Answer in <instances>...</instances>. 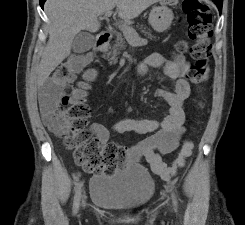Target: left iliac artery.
Here are the masks:
<instances>
[{
    "label": "left iliac artery",
    "instance_id": "left-iliac-artery-1",
    "mask_svg": "<svg viewBox=\"0 0 245 225\" xmlns=\"http://www.w3.org/2000/svg\"><path fill=\"white\" fill-rule=\"evenodd\" d=\"M173 203H174V205H176V204H177V201H176L175 196H173Z\"/></svg>",
    "mask_w": 245,
    "mask_h": 225
}]
</instances>
